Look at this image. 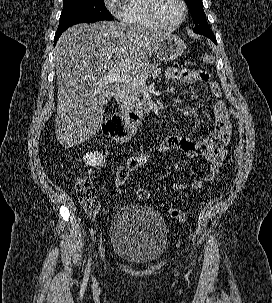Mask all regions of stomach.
I'll use <instances>...</instances> for the list:
<instances>
[{
	"mask_svg": "<svg viewBox=\"0 0 272 303\" xmlns=\"http://www.w3.org/2000/svg\"><path fill=\"white\" fill-rule=\"evenodd\" d=\"M186 49L184 41L174 35H168L157 47L155 54L161 61H172L180 57Z\"/></svg>",
	"mask_w": 272,
	"mask_h": 303,
	"instance_id": "obj_1",
	"label": "stomach"
}]
</instances>
